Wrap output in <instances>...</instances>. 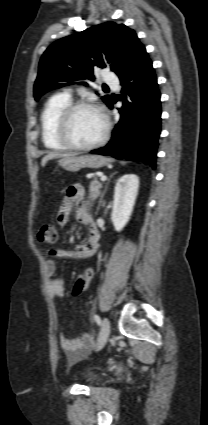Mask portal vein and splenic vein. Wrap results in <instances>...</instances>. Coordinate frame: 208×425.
I'll return each instance as SVG.
<instances>
[{"instance_id":"18ae733b","label":"portal vein and splenic vein","mask_w":208,"mask_h":425,"mask_svg":"<svg viewBox=\"0 0 208 425\" xmlns=\"http://www.w3.org/2000/svg\"><path fill=\"white\" fill-rule=\"evenodd\" d=\"M100 179H101V181H106L107 177L105 175H102Z\"/></svg>"}]
</instances>
